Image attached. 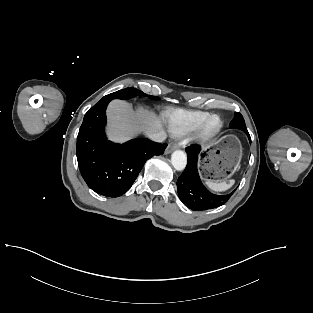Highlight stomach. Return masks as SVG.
I'll return each instance as SVG.
<instances>
[{"instance_id":"0dacf381","label":"stomach","mask_w":313,"mask_h":313,"mask_svg":"<svg viewBox=\"0 0 313 313\" xmlns=\"http://www.w3.org/2000/svg\"><path fill=\"white\" fill-rule=\"evenodd\" d=\"M242 148L236 136H224L202 150L200 166L205 177L212 181H224L237 170Z\"/></svg>"}]
</instances>
